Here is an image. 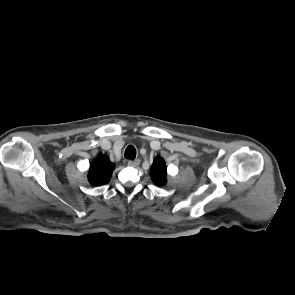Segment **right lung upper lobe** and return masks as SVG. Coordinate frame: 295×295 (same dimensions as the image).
I'll list each match as a JSON object with an SVG mask.
<instances>
[{"label":"right lung upper lobe","mask_w":295,"mask_h":295,"mask_svg":"<svg viewBox=\"0 0 295 295\" xmlns=\"http://www.w3.org/2000/svg\"><path fill=\"white\" fill-rule=\"evenodd\" d=\"M115 165L106 155L99 154L90 165L88 181L93 186L105 185L110 181Z\"/></svg>","instance_id":"cb5924a9"}]
</instances>
